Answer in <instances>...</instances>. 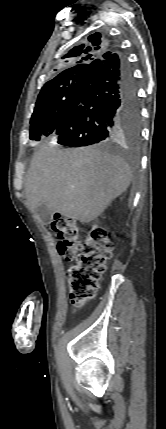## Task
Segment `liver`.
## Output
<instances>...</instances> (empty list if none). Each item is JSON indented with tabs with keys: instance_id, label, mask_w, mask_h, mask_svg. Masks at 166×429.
Masks as SVG:
<instances>
[{
	"instance_id": "1",
	"label": "liver",
	"mask_w": 166,
	"mask_h": 429,
	"mask_svg": "<svg viewBox=\"0 0 166 429\" xmlns=\"http://www.w3.org/2000/svg\"><path fill=\"white\" fill-rule=\"evenodd\" d=\"M131 180L125 160L98 147L62 150L48 145L31 162L25 194L31 210L44 204L84 224L100 216Z\"/></svg>"
}]
</instances>
